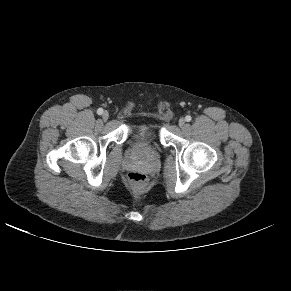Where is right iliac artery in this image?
I'll list each match as a JSON object with an SVG mask.
<instances>
[{"label":"right iliac artery","instance_id":"right-iliac-artery-1","mask_svg":"<svg viewBox=\"0 0 291 291\" xmlns=\"http://www.w3.org/2000/svg\"><path fill=\"white\" fill-rule=\"evenodd\" d=\"M97 113H98L99 115L103 114V109H102V108H99V109L97 110Z\"/></svg>","mask_w":291,"mask_h":291}]
</instances>
